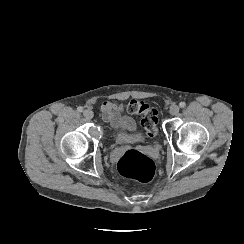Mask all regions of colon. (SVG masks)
I'll return each instance as SVG.
<instances>
[{
  "label": "colon",
  "mask_w": 244,
  "mask_h": 244,
  "mask_svg": "<svg viewBox=\"0 0 244 244\" xmlns=\"http://www.w3.org/2000/svg\"><path fill=\"white\" fill-rule=\"evenodd\" d=\"M128 112L142 117L141 126L148 139H154L158 134L157 118L155 109L149 108L144 101H133L128 105ZM120 174L127 178H134L142 183H148L155 174L154 161L135 150L127 151L122 155L118 163Z\"/></svg>",
  "instance_id": "obj_1"
}]
</instances>
